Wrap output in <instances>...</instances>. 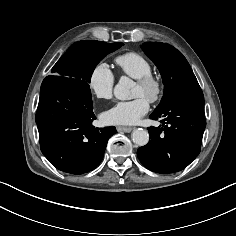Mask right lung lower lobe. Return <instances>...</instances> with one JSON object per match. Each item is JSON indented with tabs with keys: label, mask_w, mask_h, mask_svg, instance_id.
Wrapping results in <instances>:
<instances>
[{
	"label": "right lung lower lobe",
	"mask_w": 236,
	"mask_h": 236,
	"mask_svg": "<svg viewBox=\"0 0 236 236\" xmlns=\"http://www.w3.org/2000/svg\"><path fill=\"white\" fill-rule=\"evenodd\" d=\"M91 94L66 78L45 79L35 116L40 148L58 170L83 174L101 162L114 126L95 128Z\"/></svg>",
	"instance_id": "obj_1"
}]
</instances>
